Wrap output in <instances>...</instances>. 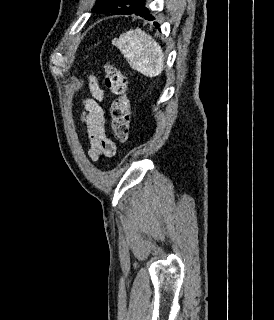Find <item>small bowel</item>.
<instances>
[{"label": "small bowel", "instance_id": "small-bowel-1", "mask_svg": "<svg viewBox=\"0 0 274 320\" xmlns=\"http://www.w3.org/2000/svg\"><path fill=\"white\" fill-rule=\"evenodd\" d=\"M88 85L93 98L83 100V111L80 122L85 129L89 141L88 154L91 160L97 161L101 157L113 156L116 150L114 142L108 137L106 131L107 115L99 104L104 98V92L99 87L94 74L87 76Z\"/></svg>", "mask_w": 274, "mask_h": 320}]
</instances>
